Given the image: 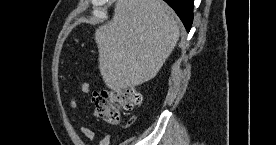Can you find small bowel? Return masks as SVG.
I'll return each instance as SVG.
<instances>
[{"label": "small bowel", "mask_w": 276, "mask_h": 145, "mask_svg": "<svg viewBox=\"0 0 276 145\" xmlns=\"http://www.w3.org/2000/svg\"><path fill=\"white\" fill-rule=\"evenodd\" d=\"M81 92L85 95H89L91 92V88L88 83H83L81 85ZM77 107V102L74 97H70L68 100V109L70 111H74ZM80 133L88 140L92 141L95 138V133L88 127L81 126L79 127ZM111 142V135L105 134L101 141L99 142V145H110Z\"/></svg>", "instance_id": "obj_1"}]
</instances>
